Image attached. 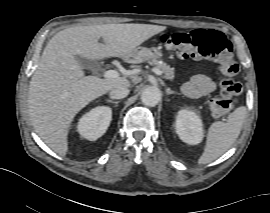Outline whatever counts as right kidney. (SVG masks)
<instances>
[{
  "instance_id": "obj_1",
  "label": "right kidney",
  "mask_w": 270,
  "mask_h": 213,
  "mask_svg": "<svg viewBox=\"0 0 270 213\" xmlns=\"http://www.w3.org/2000/svg\"><path fill=\"white\" fill-rule=\"evenodd\" d=\"M112 119V109L99 106L80 118L77 126L79 134L88 140L100 138L107 130Z\"/></svg>"
}]
</instances>
